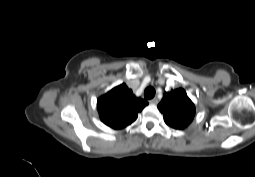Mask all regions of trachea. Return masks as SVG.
<instances>
[{
  "mask_svg": "<svg viewBox=\"0 0 255 177\" xmlns=\"http://www.w3.org/2000/svg\"><path fill=\"white\" fill-rule=\"evenodd\" d=\"M155 93H156V91L153 87H151V86L147 87L144 91V97L146 99H152L155 96Z\"/></svg>",
  "mask_w": 255,
  "mask_h": 177,
  "instance_id": "3493384b",
  "label": "trachea"
}]
</instances>
